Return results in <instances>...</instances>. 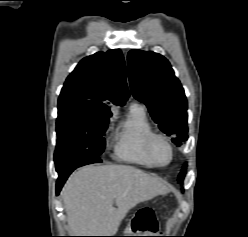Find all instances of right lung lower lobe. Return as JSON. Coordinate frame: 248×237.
I'll list each match as a JSON object with an SVG mask.
<instances>
[{"label":"right lung lower lobe","mask_w":248,"mask_h":237,"mask_svg":"<svg viewBox=\"0 0 248 237\" xmlns=\"http://www.w3.org/2000/svg\"><path fill=\"white\" fill-rule=\"evenodd\" d=\"M102 160L99 158V155L90 154L87 152L80 153H56L55 152V167L58 172L57 179V194H59L62 186L67 180L68 176L74 171L76 168L91 164V163H99Z\"/></svg>","instance_id":"98d812e1"}]
</instances>
